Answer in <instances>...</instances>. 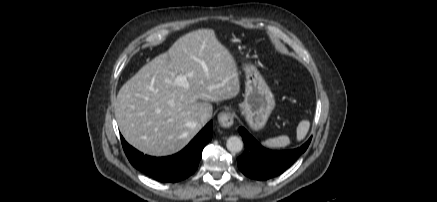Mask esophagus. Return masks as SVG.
Listing matches in <instances>:
<instances>
[{"label":"esophagus","instance_id":"34e87169","mask_svg":"<svg viewBox=\"0 0 437 202\" xmlns=\"http://www.w3.org/2000/svg\"><path fill=\"white\" fill-rule=\"evenodd\" d=\"M234 122V114L231 111H224L218 115V123L221 127L229 128Z\"/></svg>","mask_w":437,"mask_h":202}]
</instances>
